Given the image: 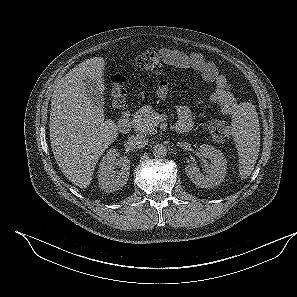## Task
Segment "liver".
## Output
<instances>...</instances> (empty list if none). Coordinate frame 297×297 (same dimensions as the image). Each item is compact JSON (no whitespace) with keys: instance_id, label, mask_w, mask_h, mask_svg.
I'll return each mask as SVG.
<instances>
[{"instance_id":"6515ba94","label":"liver","mask_w":297,"mask_h":297,"mask_svg":"<svg viewBox=\"0 0 297 297\" xmlns=\"http://www.w3.org/2000/svg\"><path fill=\"white\" fill-rule=\"evenodd\" d=\"M105 60L93 57L71 69L56 85L51 98L50 140L56 163L73 184L87 188L96 163L118 137L112 120L86 95L83 81H103Z\"/></svg>"}]
</instances>
